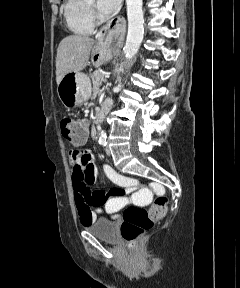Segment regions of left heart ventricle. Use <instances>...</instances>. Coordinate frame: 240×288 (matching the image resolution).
I'll return each mask as SVG.
<instances>
[{"label": "left heart ventricle", "instance_id": "1", "mask_svg": "<svg viewBox=\"0 0 240 288\" xmlns=\"http://www.w3.org/2000/svg\"><path fill=\"white\" fill-rule=\"evenodd\" d=\"M89 3H90V4H93V3H94V0H89Z\"/></svg>", "mask_w": 240, "mask_h": 288}]
</instances>
